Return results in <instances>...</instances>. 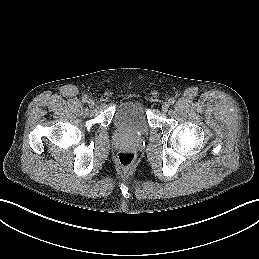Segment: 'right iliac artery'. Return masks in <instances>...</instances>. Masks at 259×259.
I'll list each match as a JSON object with an SVG mask.
<instances>
[{
    "mask_svg": "<svg viewBox=\"0 0 259 259\" xmlns=\"http://www.w3.org/2000/svg\"><path fill=\"white\" fill-rule=\"evenodd\" d=\"M82 100H83V102H88V100H89V97L87 96V95H85V96H83V98H82Z\"/></svg>",
    "mask_w": 259,
    "mask_h": 259,
    "instance_id": "82829eb1",
    "label": "right iliac artery"
}]
</instances>
